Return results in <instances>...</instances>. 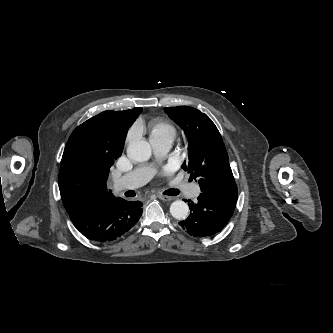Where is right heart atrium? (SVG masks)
<instances>
[{
    "mask_svg": "<svg viewBox=\"0 0 333 333\" xmlns=\"http://www.w3.org/2000/svg\"><path fill=\"white\" fill-rule=\"evenodd\" d=\"M137 137V127L133 126L127 134L126 141L129 143Z\"/></svg>",
    "mask_w": 333,
    "mask_h": 333,
    "instance_id": "d8ad5b80",
    "label": "right heart atrium"
}]
</instances>
